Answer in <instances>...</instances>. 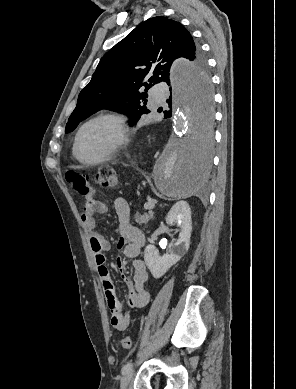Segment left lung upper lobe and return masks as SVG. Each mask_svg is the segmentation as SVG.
Segmentation results:
<instances>
[{
    "instance_id": "1",
    "label": "left lung upper lobe",
    "mask_w": 296,
    "mask_h": 389,
    "mask_svg": "<svg viewBox=\"0 0 296 389\" xmlns=\"http://www.w3.org/2000/svg\"><path fill=\"white\" fill-rule=\"evenodd\" d=\"M179 57L190 61L193 85L210 89L206 60L187 29L163 16L146 20L102 57L91 81L79 94L65 132L73 131L100 109L140 119L150 112L145 105L148 89L158 82H170V67ZM141 86L146 89L141 90ZM198 100L201 116L208 124L212 114Z\"/></svg>"
}]
</instances>
